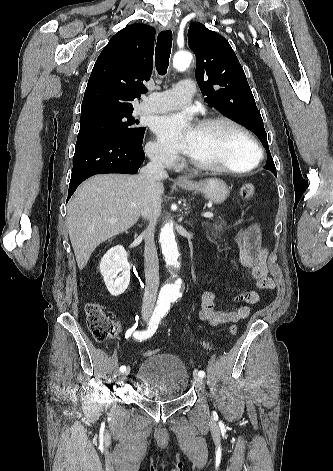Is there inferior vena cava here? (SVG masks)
<instances>
[{
	"label": "inferior vena cava",
	"mask_w": 333,
	"mask_h": 471,
	"mask_svg": "<svg viewBox=\"0 0 333 471\" xmlns=\"http://www.w3.org/2000/svg\"><path fill=\"white\" fill-rule=\"evenodd\" d=\"M141 177L147 191L142 201L141 215L148 220L149 225L144 231V267L146 288L143 296L142 312L152 314L159 287V262L154 243V228L161 214V199L155 193L156 180L168 176L160 153H155L151 161L141 169Z\"/></svg>",
	"instance_id": "1"
}]
</instances>
